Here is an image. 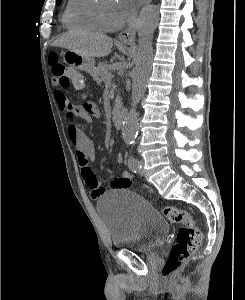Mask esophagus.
<instances>
[{
    "instance_id": "esophagus-1",
    "label": "esophagus",
    "mask_w": 245,
    "mask_h": 300,
    "mask_svg": "<svg viewBox=\"0 0 245 300\" xmlns=\"http://www.w3.org/2000/svg\"><path fill=\"white\" fill-rule=\"evenodd\" d=\"M152 0H143V8L151 3ZM138 28V20L129 25L124 31L120 32L118 39L121 42H133L135 40L136 31Z\"/></svg>"
}]
</instances>
